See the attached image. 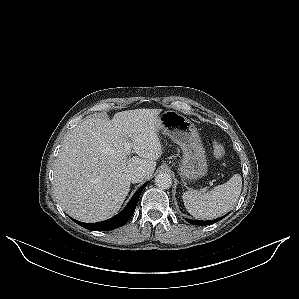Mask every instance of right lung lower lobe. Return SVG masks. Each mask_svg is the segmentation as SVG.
Returning <instances> with one entry per match:
<instances>
[{
    "label": "right lung lower lobe",
    "mask_w": 299,
    "mask_h": 299,
    "mask_svg": "<svg viewBox=\"0 0 299 299\" xmlns=\"http://www.w3.org/2000/svg\"><path fill=\"white\" fill-rule=\"evenodd\" d=\"M147 185V182L145 184H143L134 194V196L132 197V199L130 200V202L128 203V205L125 207V209L120 212L118 215L102 221V222H98V223H83L77 220L72 219L75 223L79 224L80 226L88 229V230H93V231H108V230H112L118 227H121L123 225H125L129 219L132 217L138 199L141 195L142 190L145 188V186Z\"/></svg>",
    "instance_id": "obj_1"
}]
</instances>
